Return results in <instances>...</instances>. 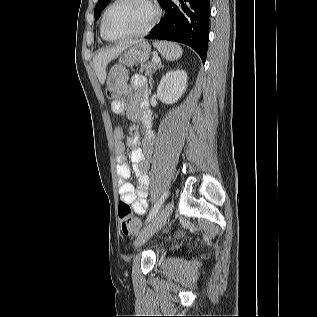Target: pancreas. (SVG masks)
Masks as SVG:
<instances>
[{"instance_id": "1", "label": "pancreas", "mask_w": 317, "mask_h": 317, "mask_svg": "<svg viewBox=\"0 0 317 317\" xmlns=\"http://www.w3.org/2000/svg\"><path fill=\"white\" fill-rule=\"evenodd\" d=\"M157 65L155 64L154 61H146L144 65L141 66L140 72L143 73L145 72V75L151 76L152 73H154Z\"/></svg>"}]
</instances>
